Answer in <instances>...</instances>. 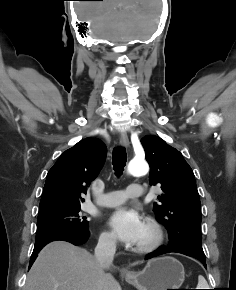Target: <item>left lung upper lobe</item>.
<instances>
[{
    "mask_svg": "<svg viewBox=\"0 0 236 290\" xmlns=\"http://www.w3.org/2000/svg\"><path fill=\"white\" fill-rule=\"evenodd\" d=\"M150 165V185L160 184V205L153 207L157 220L169 232L170 247L185 246L204 254L200 232V199L192 169L175 148L160 137L142 138Z\"/></svg>",
    "mask_w": 236,
    "mask_h": 290,
    "instance_id": "1",
    "label": "left lung upper lobe"
}]
</instances>
